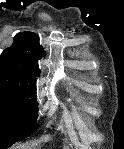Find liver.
I'll return each instance as SVG.
<instances>
[{
    "mask_svg": "<svg viewBox=\"0 0 124 149\" xmlns=\"http://www.w3.org/2000/svg\"><path fill=\"white\" fill-rule=\"evenodd\" d=\"M20 149H25V146H21Z\"/></svg>",
    "mask_w": 124,
    "mask_h": 149,
    "instance_id": "1",
    "label": "liver"
}]
</instances>
